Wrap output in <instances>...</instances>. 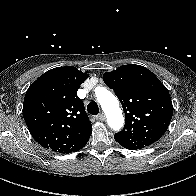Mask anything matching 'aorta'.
<instances>
[{
  "mask_svg": "<svg viewBox=\"0 0 196 196\" xmlns=\"http://www.w3.org/2000/svg\"><path fill=\"white\" fill-rule=\"evenodd\" d=\"M96 97L106 114L110 128L115 131L120 130L124 124V117L117 98L109 90L103 87L99 88Z\"/></svg>",
  "mask_w": 196,
  "mask_h": 196,
  "instance_id": "obj_1",
  "label": "aorta"
}]
</instances>
